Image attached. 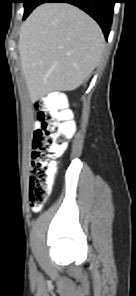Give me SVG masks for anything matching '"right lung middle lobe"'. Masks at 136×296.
I'll return each mask as SVG.
<instances>
[{
	"label": "right lung middle lobe",
	"instance_id": "1",
	"mask_svg": "<svg viewBox=\"0 0 136 296\" xmlns=\"http://www.w3.org/2000/svg\"><path fill=\"white\" fill-rule=\"evenodd\" d=\"M24 3V7H25V12H24V17L23 19H26V17L30 14V12L37 7V2L38 0H23L22 1Z\"/></svg>",
	"mask_w": 136,
	"mask_h": 296
}]
</instances>
